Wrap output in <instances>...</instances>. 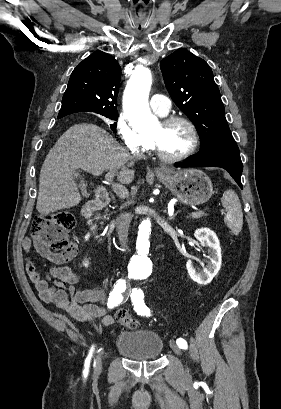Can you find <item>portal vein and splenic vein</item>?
<instances>
[{
	"label": "portal vein and splenic vein",
	"mask_w": 281,
	"mask_h": 409,
	"mask_svg": "<svg viewBox=\"0 0 281 409\" xmlns=\"http://www.w3.org/2000/svg\"><path fill=\"white\" fill-rule=\"evenodd\" d=\"M115 176V170H109V172H107L106 176H105V182H111V184H113V190H114V194L116 196H125L123 198V201L125 203H128L130 201V198L128 196H126L128 194L127 191V185L126 184H120L119 181H114L113 182V178ZM201 213H203V210L198 209L197 212H190V213H186V216H190L192 220H199L201 219ZM221 214L225 213L224 209L220 210Z\"/></svg>",
	"instance_id": "1"
}]
</instances>
